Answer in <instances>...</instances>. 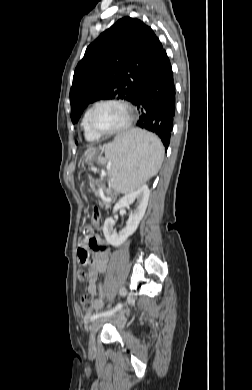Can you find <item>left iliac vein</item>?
I'll return each mask as SVG.
<instances>
[{
    "mask_svg": "<svg viewBox=\"0 0 252 390\" xmlns=\"http://www.w3.org/2000/svg\"><path fill=\"white\" fill-rule=\"evenodd\" d=\"M125 293V288L120 289V294L123 295ZM122 310H119L117 313L112 314L110 316H106L104 318H97L95 319L92 324L89 327V332H90V339H89V351L93 352L96 349V341H95V336L99 328L102 326V324L108 320L111 317H117L121 315Z\"/></svg>",
    "mask_w": 252,
    "mask_h": 390,
    "instance_id": "1",
    "label": "left iliac vein"
}]
</instances>
